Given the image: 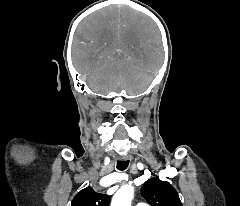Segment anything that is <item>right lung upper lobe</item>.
Segmentation results:
<instances>
[{"label": "right lung upper lobe", "mask_w": 240, "mask_h": 206, "mask_svg": "<svg viewBox=\"0 0 240 206\" xmlns=\"http://www.w3.org/2000/svg\"><path fill=\"white\" fill-rule=\"evenodd\" d=\"M110 198L107 194L97 193L92 187H87L77 193L71 206H108Z\"/></svg>", "instance_id": "cb5924a9"}]
</instances>
